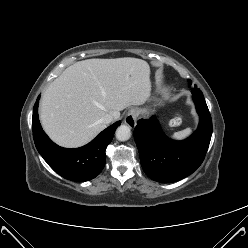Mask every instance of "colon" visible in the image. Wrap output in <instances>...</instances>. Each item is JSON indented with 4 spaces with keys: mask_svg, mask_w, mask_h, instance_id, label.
Listing matches in <instances>:
<instances>
[{
    "mask_svg": "<svg viewBox=\"0 0 248 248\" xmlns=\"http://www.w3.org/2000/svg\"><path fill=\"white\" fill-rule=\"evenodd\" d=\"M182 114L181 113H176L175 115H174V117L172 118V120H171V124L172 125H179V124H181V122H182Z\"/></svg>",
    "mask_w": 248,
    "mask_h": 248,
    "instance_id": "colon-1",
    "label": "colon"
}]
</instances>
